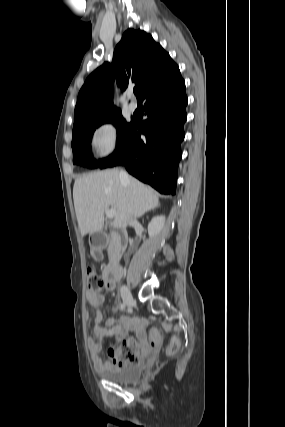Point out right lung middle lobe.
Returning a JSON list of instances; mask_svg holds the SVG:
<instances>
[{"label":"right lung middle lobe","mask_w":285,"mask_h":427,"mask_svg":"<svg viewBox=\"0 0 285 427\" xmlns=\"http://www.w3.org/2000/svg\"><path fill=\"white\" fill-rule=\"evenodd\" d=\"M104 123H112L117 128V149L130 130L133 124V118H131V122H126V120L122 117L121 112L118 111L74 129L72 138L74 164L88 168H95L106 160L102 159L99 162H96L94 159H92L90 153V142L92 134L97 127Z\"/></svg>","instance_id":"obj_1"}]
</instances>
